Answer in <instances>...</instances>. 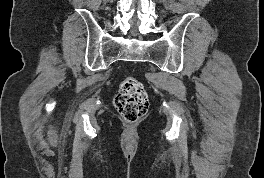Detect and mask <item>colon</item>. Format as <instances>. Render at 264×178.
<instances>
[{
	"label": "colon",
	"mask_w": 264,
	"mask_h": 178,
	"mask_svg": "<svg viewBox=\"0 0 264 178\" xmlns=\"http://www.w3.org/2000/svg\"><path fill=\"white\" fill-rule=\"evenodd\" d=\"M114 107L126 121L139 120L149 107L148 95L143 84L135 77L125 78L114 98Z\"/></svg>",
	"instance_id": "1"
}]
</instances>
